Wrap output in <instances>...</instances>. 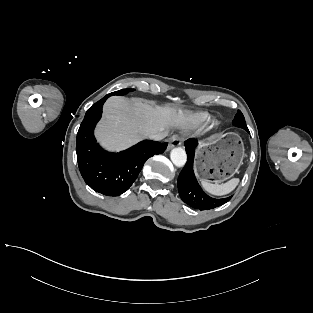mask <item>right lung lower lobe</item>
<instances>
[{
	"instance_id": "1",
	"label": "right lung lower lobe",
	"mask_w": 313,
	"mask_h": 313,
	"mask_svg": "<svg viewBox=\"0 0 313 313\" xmlns=\"http://www.w3.org/2000/svg\"><path fill=\"white\" fill-rule=\"evenodd\" d=\"M108 97H103L86 112L77 133L76 153L84 181L94 191L118 196L130 188L148 158L166 150L167 143L144 140L119 153L103 150L96 143L93 131Z\"/></svg>"
}]
</instances>
